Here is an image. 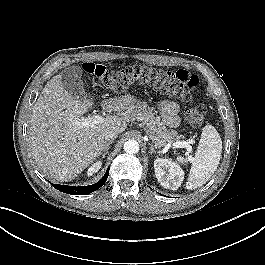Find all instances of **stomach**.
<instances>
[{
  "instance_id": "obj_1",
  "label": "stomach",
  "mask_w": 265,
  "mask_h": 265,
  "mask_svg": "<svg viewBox=\"0 0 265 265\" xmlns=\"http://www.w3.org/2000/svg\"><path fill=\"white\" fill-rule=\"evenodd\" d=\"M128 100V105H127V109H129L132 105H135V100L131 97L127 98Z\"/></svg>"
}]
</instances>
